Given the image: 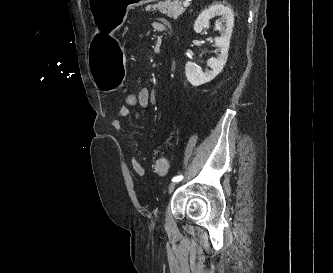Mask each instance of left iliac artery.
Here are the masks:
<instances>
[{
	"instance_id": "obj_1",
	"label": "left iliac artery",
	"mask_w": 333,
	"mask_h": 273,
	"mask_svg": "<svg viewBox=\"0 0 333 273\" xmlns=\"http://www.w3.org/2000/svg\"><path fill=\"white\" fill-rule=\"evenodd\" d=\"M182 179H183V176L180 175V176H176V177H174V178L172 179V181H173V182H179V181H181Z\"/></svg>"
}]
</instances>
